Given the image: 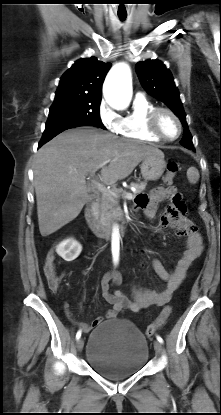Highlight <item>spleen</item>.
I'll list each match as a JSON object with an SVG mask.
<instances>
[{"label": "spleen", "instance_id": "spleen-1", "mask_svg": "<svg viewBox=\"0 0 221 415\" xmlns=\"http://www.w3.org/2000/svg\"><path fill=\"white\" fill-rule=\"evenodd\" d=\"M187 178L190 183L196 184L199 180V172L195 167H191L187 171Z\"/></svg>", "mask_w": 221, "mask_h": 415}]
</instances>
